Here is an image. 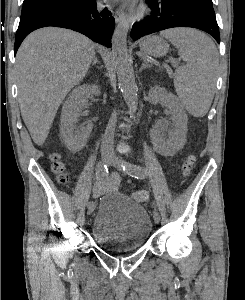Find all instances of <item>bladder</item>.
I'll use <instances>...</instances> for the list:
<instances>
[{
	"mask_svg": "<svg viewBox=\"0 0 245 300\" xmlns=\"http://www.w3.org/2000/svg\"><path fill=\"white\" fill-rule=\"evenodd\" d=\"M152 223L146 210L119 192L105 194L91 223L93 240L114 252H131L148 241Z\"/></svg>",
	"mask_w": 245,
	"mask_h": 300,
	"instance_id": "31cf9c89",
	"label": "bladder"
}]
</instances>
